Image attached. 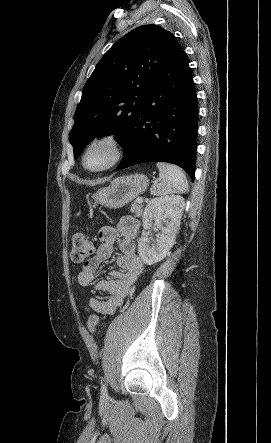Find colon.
<instances>
[{
	"instance_id": "1",
	"label": "colon",
	"mask_w": 271,
	"mask_h": 443,
	"mask_svg": "<svg viewBox=\"0 0 271 443\" xmlns=\"http://www.w3.org/2000/svg\"><path fill=\"white\" fill-rule=\"evenodd\" d=\"M70 246V259L74 265L84 264L95 250L93 239L82 233H76L71 237ZM88 327L91 333H97L99 318L96 314L92 313L88 316Z\"/></svg>"
}]
</instances>
